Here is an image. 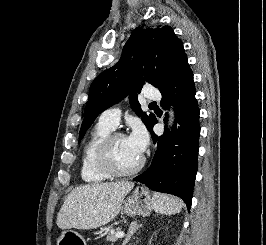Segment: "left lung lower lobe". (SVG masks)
<instances>
[{
  "label": "left lung lower lobe",
  "instance_id": "0a47b994",
  "mask_svg": "<svg viewBox=\"0 0 266 245\" xmlns=\"http://www.w3.org/2000/svg\"><path fill=\"white\" fill-rule=\"evenodd\" d=\"M160 92L162 108L167 110L169 103L176 108L174 126L169 135L158 137L152 130L157 123L156 117L153 119L148 130L157 143V150L151 166L133 181L182 198L190 210L198 167L200 125L193 72L187 58L177 65Z\"/></svg>",
  "mask_w": 266,
  "mask_h": 245
}]
</instances>
